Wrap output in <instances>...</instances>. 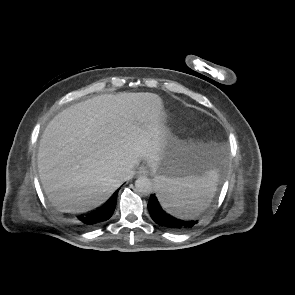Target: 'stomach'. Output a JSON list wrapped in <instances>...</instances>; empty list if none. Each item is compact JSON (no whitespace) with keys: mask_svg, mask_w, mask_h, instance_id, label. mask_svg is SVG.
Returning a JSON list of instances; mask_svg holds the SVG:
<instances>
[{"mask_svg":"<svg viewBox=\"0 0 295 295\" xmlns=\"http://www.w3.org/2000/svg\"><path fill=\"white\" fill-rule=\"evenodd\" d=\"M211 167V152L202 143L177 141L170 135L152 173L166 178L201 177Z\"/></svg>","mask_w":295,"mask_h":295,"instance_id":"1","label":"stomach"}]
</instances>
